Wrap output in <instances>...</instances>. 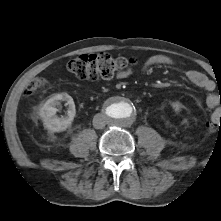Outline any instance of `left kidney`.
Masks as SVG:
<instances>
[{
	"instance_id": "left-kidney-1",
	"label": "left kidney",
	"mask_w": 221,
	"mask_h": 221,
	"mask_svg": "<svg viewBox=\"0 0 221 221\" xmlns=\"http://www.w3.org/2000/svg\"><path fill=\"white\" fill-rule=\"evenodd\" d=\"M172 107L175 110V112H180L182 105L179 102H173Z\"/></svg>"
}]
</instances>
